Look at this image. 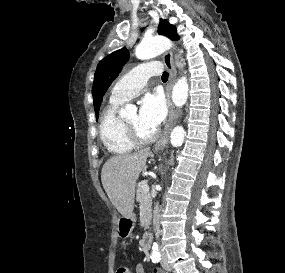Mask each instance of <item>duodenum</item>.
Masks as SVG:
<instances>
[{
  "instance_id": "duodenum-1",
  "label": "duodenum",
  "mask_w": 285,
  "mask_h": 273,
  "mask_svg": "<svg viewBox=\"0 0 285 273\" xmlns=\"http://www.w3.org/2000/svg\"><path fill=\"white\" fill-rule=\"evenodd\" d=\"M150 240L151 234L149 232H145L142 237V245L145 250H148L150 248Z\"/></svg>"
}]
</instances>
